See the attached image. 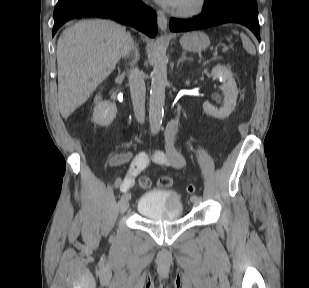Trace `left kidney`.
Returning <instances> with one entry per match:
<instances>
[{"mask_svg": "<svg viewBox=\"0 0 309 288\" xmlns=\"http://www.w3.org/2000/svg\"><path fill=\"white\" fill-rule=\"evenodd\" d=\"M211 74L214 79L220 78L223 80L221 89L224 92V102L223 106L219 109L212 106L210 103L205 102L203 103V110L213 117L224 119L228 117L235 108L238 96L237 85L231 70L226 66H215L212 69Z\"/></svg>", "mask_w": 309, "mask_h": 288, "instance_id": "obj_1", "label": "left kidney"}]
</instances>
